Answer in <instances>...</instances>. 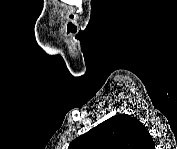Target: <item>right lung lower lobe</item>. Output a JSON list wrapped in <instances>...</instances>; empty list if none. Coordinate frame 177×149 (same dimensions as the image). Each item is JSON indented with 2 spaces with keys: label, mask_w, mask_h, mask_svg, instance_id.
<instances>
[{
  "label": "right lung lower lobe",
  "mask_w": 177,
  "mask_h": 149,
  "mask_svg": "<svg viewBox=\"0 0 177 149\" xmlns=\"http://www.w3.org/2000/svg\"><path fill=\"white\" fill-rule=\"evenodd\" d=\"M144 139L146 140V143H148V145H149L151 142H153V139H152V137H151L150 134H148V136H146ZM153 146H154V143L150 145V147H153Z\"/></svg>",
  "instance_id": "obj_1"
}]
</instances>
